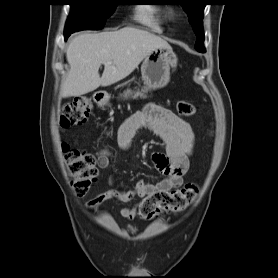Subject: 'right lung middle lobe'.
I'll return each mask as SVG.
<instances>
[{
	"label": "right lung middle lobe",
	"mask_w": 278,
	"mask_h": 278,
	"mask_svg": "<svg viewBox=\"0 0 278 278\" xmlns=\"http://www.w3.org/2000/svg\"><path fill=\"white\" fill-rule=\"evenodd\" d=\"M119 0H68L71 6L64 34L84 29H102Z\"/></svg>",
	"instance_id": "1"
}]
</instances>
